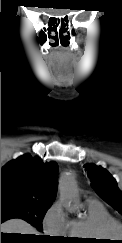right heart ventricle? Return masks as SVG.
Segmentation results:
<instances>
[{
	"mask_svg": "<svg viewBox=\"0 0 122 243\" xmlns=\"http://www.w3.org/2000/svg\"><path fill=\"white\" fill-rule=\"evenodd\" d=\"M110 221H113V217L100 202L88 200L85 217L69 220L66 235L75 239H106L103 227Z\"/></svg>",
	"mask_w": 122,
	"mask_h": 243,
	"instance_id": "1",
	"label": "right heart ventricle"
}]
</instances>
